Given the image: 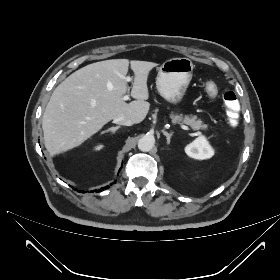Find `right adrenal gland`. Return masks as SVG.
Listing matches in <instances>:
<instances>
[{"label": "right adrenal gland", "instance_id": "2a0ac1e0", "mask_svg": "<svg viewBox=\"0 0 280 280\" xmlns=\"http://www.w3.org/2000/svg\"><path fill=\"white\" fill-rule=\"evenodd\" d=\"M119 128H120V126L111 127V128H108L107 130L101 132V134L108 133V132H111L112 134H114Z\"/></svg>", "mask_w": 280, "mask_h": 280}]
</instances>
